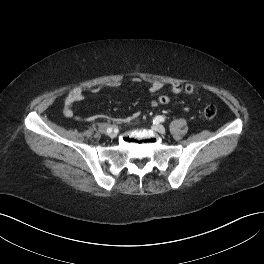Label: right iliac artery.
Returning a JSON list of instances; mask_svg holds the SVG:
<instances>
[{
    "instance_id": "1",
    "label": "right iliac artery",
    "mask_w": 264,
    "mask_h": 264,
    "mask_svg": "<svg viewBox=\"0 0 264 264\" xmlns=\"http://www.w3.org/2000/svg\"><path fill=\"white\" fill-rule=\"evenodd\" d=\"M106 132H107V133L112 132V128H111V127L106 128Z\"/></svg>"
}]
</instances>
